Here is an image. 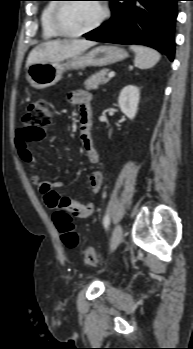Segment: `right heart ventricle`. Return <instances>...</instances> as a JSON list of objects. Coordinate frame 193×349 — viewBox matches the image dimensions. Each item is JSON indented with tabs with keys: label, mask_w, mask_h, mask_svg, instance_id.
Here are the masks:
<instances>
[{
	"label": "right heart ventricle",
	"mask_w": 193,
	"mask_h": 349,
	"mask_svg": "<svg viewBox=\"0 0 193 349\" xmlns=\"http://www.w3.org/2000/svg\"><path fill=\"white\" fill-rule=\"evenodd\" d=\"M54 1L56 0H50L44 6L40 15L42 37L47 40L55 39L59 37V35L55 32V30L52 28V25H51V14H52L53 7L55 5Z\"/></svg>",
	"instance_id": "obj_1"
}]
</instances>
